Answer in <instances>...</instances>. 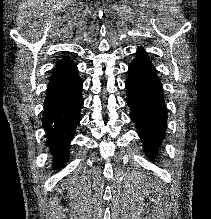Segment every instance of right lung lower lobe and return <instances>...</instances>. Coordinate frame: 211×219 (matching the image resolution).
<instances>
[{
  "label": "right lung lower lobe",
  "mask_w": 211,
  "mask_h": 219,
  "mask_svg": "<svg viewBox=\"0 0 211 219\" xmlns=\"http://www.w3.org/2000/svg\"><path fill=\"white\" fill-rule=\"evenodd\" d=\"M82 86L72 60L57 66L48 83L42 124L55 167L63 165L69 158V144L80 122L83 106Z\"/></svg>",
  "instance_id": "obj_1"
}]
</instances>
